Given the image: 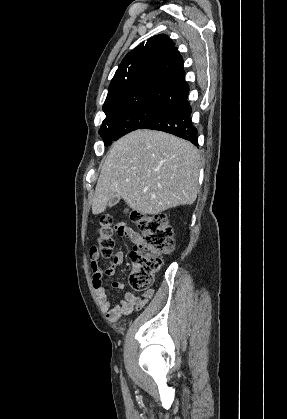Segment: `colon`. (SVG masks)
Returning <instances> with one entry per match:
<instances>
[{"label":"colon","instance_id":"colon-1","mask_svg":"<svg viewBox=\"0 0 287 419\" xmlns=\"http://www.w3.org/2000/svg\"><path fill=\"white\" fill-rule=\"evenodd\" d=\"M131 219L137 225L141 238L130 252V283L135 291L143 292L151 286L154 273L162 264V255L173 250V230L165 214L145 215L133 212ZM116 229L112 217H102L96 232L97 248L102 256L108 257L111 254Z\"/></svg>","mask_w":287,"mask_h":419}]
</instances>
